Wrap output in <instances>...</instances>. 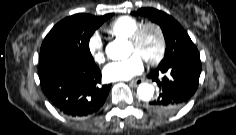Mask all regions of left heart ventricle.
Instances as JSON below:
<instances>
[{
  "instance_id": "obj_1",
  "label": "left heart ventricle",
  "mask_w": 236,
  "mask_h": 135,
  "mask_svg": "<svg viewBox=\"0 0 236 135\" xmlns=\"http://www.w3.org/2000/svg\"><path fill=\"white\" fill-rule=\"evenodd\" d=\"M158 36L153 29L146 31L142 44L138 51H136L132 45H129L130 53H135L139 55L142 59L152 58L158 50Z\"/></svg>"
}]
</instances>
